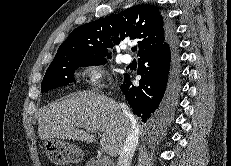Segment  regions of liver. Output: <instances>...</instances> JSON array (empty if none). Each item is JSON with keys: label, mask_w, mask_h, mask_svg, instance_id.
Segmentation results:
<instances>
[{"label": "liver", "mask_w": 231, "mask_h": 166, "mask_svg": "<svg viewBox=\"0 0 231 166\" xmlns=\"http://www.w3.org/2000/svg\"><path fill=\"white\" fill-rule=\"evenodd\" d=\"M130 130L131 123L120 105L93 91H79L63 101L53 102L38 115L41 140L58 138L92 143L95 141L92 133L102 132L100 146L111 157L120 154Z\"/></svg>", "instance_id": "liver-1"}]
</instances>
